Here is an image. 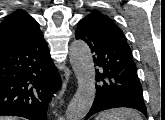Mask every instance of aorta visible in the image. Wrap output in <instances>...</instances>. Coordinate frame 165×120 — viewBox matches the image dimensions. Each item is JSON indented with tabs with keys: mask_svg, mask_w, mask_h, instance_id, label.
<instances>
[{
	"mask_svg": "<svg viewBox=\"0 0 165 120\" xmlns=\"http://www.w3.org/2000/svg\"><path fill=\"white\" fill-rule=\"evenodd\" d=\"M69 58L78 88L68 105L66 117L68 120H82L90 110L96 94L95 67L90 48L82 40H75L71 44Z\"/></svg>",
	"mask_w": 165,
	"mask_h": 120,
	"instance_id": "aorta-1",
	"label": "aorta"
}]
</instances>
